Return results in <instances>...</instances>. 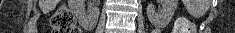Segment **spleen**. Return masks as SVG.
Masks as SVG:
<instances>
[{
	"label": "spleen",
	"mask_w": 235,
	"mask_h": 33,
	"mask_svg": "<svg viewBox=\"0 0 235 33\" xmlns=\"http://www.w3.org/2000/svg\"><path fill=\"white\" fill-rule=\"evenodd\" d=\"M203 9H206V7L203 8ZM196 13H200V12H199V11H194V12H192V14H196Z\"/></svg>",
	"instance_id": "3e777b00"
}]
</instances>
